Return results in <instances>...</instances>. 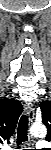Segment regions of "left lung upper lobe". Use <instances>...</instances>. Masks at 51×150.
<instances>
[{"label":"left lung upper lobe","instance_id":"left-lung-upper-lobe-1","mask_svg":"<svg viewBox=\"0 0 51 150\" xmlns=\"http://www.w3.org/2000/svg\"><path fill=\"white\" fill-rule=\"evenodd\" d=\"M40 109L42 112V122L48 129V134L46 140H49L51 134V102L50 101H43L40 104Z\"/></svg>","mask_w":51,"mask_h":150}]
</instances>
